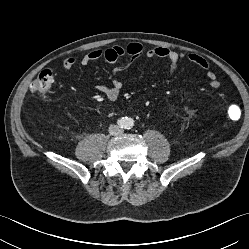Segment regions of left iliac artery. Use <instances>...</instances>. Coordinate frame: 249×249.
I'll use <instances>...</instances> for the list:
<instances>
[{
  "instance_id": "obj_1",
  "label": "left iliac artery",
  "mask_w": 249,
  "mask_h": 249,
  "mask_svg": "<svg viewBox=\"0 0 249 249\" xmlns=\"http://www.w3.org/2000/svg\"><path fill=\"white\" fill-rule=\"evenodd\" d=\"M132 126H133L132 121H129V123H128V127H129V128H131Z\"/></svg>"
}]
</instances>
